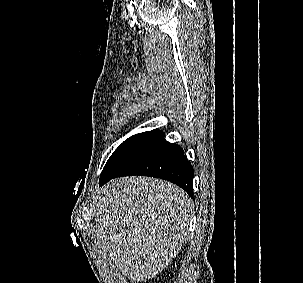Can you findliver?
I'll use <instances>...</instances> for the list:
<instances>
[{"label":"liver","instance_id":"obj_1","mask_svg":"<svg viewBox=\"0 0 303 283\" xmlns=\"http://www.w3.org/2000/svg\"><path fill=\"white\" fill-rule=\"evenodd\" d=\"M96 205L99 245L131 282L161 273L185 240L193 202L179 187L148 177L111 181Z\"/></svg>","mask_w":303,"mask_h":283}]
</instances>
